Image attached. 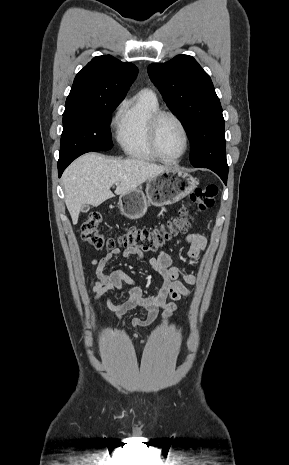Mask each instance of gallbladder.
Instances as JSON below:
<instances>
[{
  "label": "gallbladder",
  "mask_w": 289,
  "mask_h": 465,
  "mask_svg": "<svg viewBox=\"0 0 289 465\" xmlns=\"http://www.w3.org/2000/svg\"><path fill=\"white\" fill-rule=\"evenodd\" d=\"M89 209H90V206L85 204V205L82 206L81 211L85 213V212H88Z\"/></svg>",
  "instance_id": "bac80fb5"
}]
</instances>
